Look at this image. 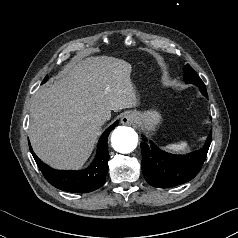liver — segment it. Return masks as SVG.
I'll return each mask as SVG.
<instances>
[{
	"mask_svg": "<svg viewBox=\"0 0 238 238\" xmlns=\"http://www.w3.org/2000/svg\"><path fill=\"white\" fill-rule=\"evenodd\" d=\"M132 66L118 58L88 57L71 63L34 94L28 135L36 155L56 169H78L89 158L111 110L137 107Z\"/></svg>",
	"mask_w": 238,
	"mask_h": 238,
	"instance_id": "obj_1",
	"label": "liver"
}]
</instances>
